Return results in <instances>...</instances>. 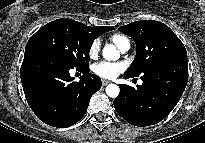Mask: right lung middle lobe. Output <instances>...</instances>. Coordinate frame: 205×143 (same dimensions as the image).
<instances>
[{
    "mask_svg": "<svg viewBox=\"0 0 205 143\" xmlns=\"http://www.w3.org/2000/svg\"><path fill=\"white\" fill-rule=\"evenodd\" d=\"M94 39L83 23L61 18L40 28L29 39L25 50H41L73 68L85 69L89 65V50Z\"/></svg>",
    "mask_w": 205,
    "mask_h": 143,
    "instance_id": "1",
    "label": "right lung middle lobe"
}]
</instances>
